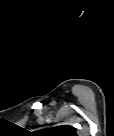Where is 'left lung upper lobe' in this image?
I'll list each match as a JSON object with an SVG mask.
<instances>
[{
	"label": "left lung upper lobe",
	"mask_w": 114,
	"mask_h": 136,
	"mask_svg": "<svg viewBox=\"0 0 114 136\" xmlns=\"http://www.w3.org/2000/svg\"><path fill=\"white\" fill-rule=\"evenodd\" d=\"M44 136H76V129L72 126L63 125L43 130Z\"/></svg>",
	"instance_id": "1"
}]
</instances>
